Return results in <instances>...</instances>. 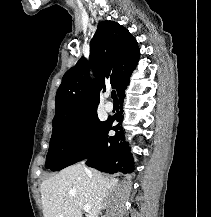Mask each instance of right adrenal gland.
<instances>
[{
  "instance_id": "1",
  "label": "right adrenal gland",
  "mask_w": 211,
  "mask_h": 217,
  "mask_svg": "<svg viewBox=\"0 0 211 217\" xmlns=\"http://www.w3.org/2000/svg\"><path fill=\"white\" fill-rule=\"evenodd\" d=\"M106 206H107V200L104 199V200H103V208H106Z\"/></svg>"
}]
</instances>
